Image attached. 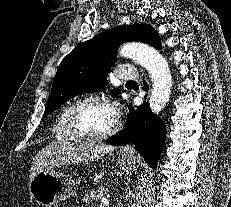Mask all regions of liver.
<instances>
[{"mask_svg":"<svg viewBox=\"0 0 231 207\" xmlns=\"http://www.w3.org/2000/svg\"><path fill=\"white\" fill-rule=\"evenodd\" d=\"M113 146L104 144H69L46 146L33 159L30 169V181L42 170H48L60 163H89L111 153Z\"/></svg>","mask_w":231,"mask_h":207,"instance_id":"obj_1","label":"liver"}]
</instances>
